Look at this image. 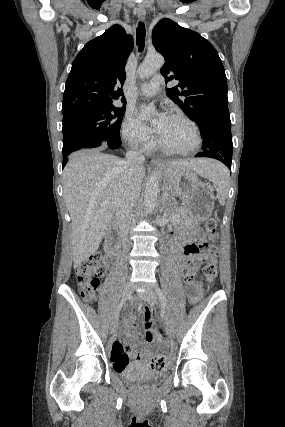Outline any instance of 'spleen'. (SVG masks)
<instances>
[{"label": "spleen", "mask_w": 285, "mask_h": 427, "mask_svg": "<svg viewBox=\"0 0 285 427\" xmlns=\"http://www.w3.org/2000/svg\"><path fill=\"white\" fill-rule=\"evenodd\" d=\"M207 178L213 183L216 189L219 203L221 205H224L225 198L229 190V178H230V174L227 168L224 165L217 162V164L212 168L211 173Z\"/></svg>", "instance_id": "1"}]
</instances>
